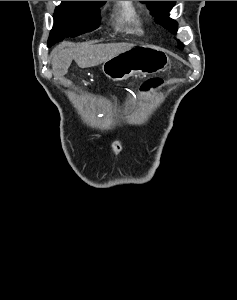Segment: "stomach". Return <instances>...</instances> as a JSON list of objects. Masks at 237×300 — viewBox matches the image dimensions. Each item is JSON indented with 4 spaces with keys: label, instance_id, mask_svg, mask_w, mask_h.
<instances>
[{
    "label": "stomach",
    "instance_id": "0dacf381",
    "mask_svg": "<svg viewBox=\"0 0 237 300\" xmlns=\"http://www.w3.org/2000/svg\"><path fill=\"white\" fill-rule=\"evenodd\" d=\"M169 57L163 49L151 45H138L104 61L102 71L112 81H124L132 75H154L166 69Z\"/></svg>",
    "mask_w": 237,
    "mask_h": 300
}]
</instances>
